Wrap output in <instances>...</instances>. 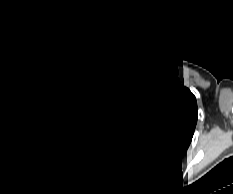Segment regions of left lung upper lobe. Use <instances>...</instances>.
<instances>
[{"mask_svg": "<svg viewBox=\"0 0 233 194\" xmlns=\"http://www.w3.org/2000/svg\"><path fill=\"white\" fill-rule=\"evenodd\" d=\"M149 135L147 152L180 156L187 151L197 122L192 92L167 79L151 78L135 91Z\"/></svg>", "mask_w": 233, "mask_h": 194, "instance_id": "obj_1", "label": "left lung upper lobe"}]
</instances>
